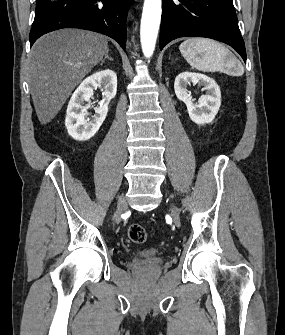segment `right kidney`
Segmentation results:
<instances>
[{
  "instance_id": "ca27d5eb",
  "label": "right kidney",
  "mask_w": 285,
  "mask_h": 335,
  "mask_svg": "<svg viewBox=\"0 0 285 335\" xmlns=\"http://www.w3.org/2000/svg\"><path fill=\"white\" fill-rule=\"evenodd\" d=\"M104 86V88H102ZM93 88H101L103 96L106 98L105 104L100 108H94L95 114L91 118H87L89 114L86 108H92L90 98L93 94ZM117 92V76L112 70H102L92 74L86 80L81 82L68 104L67 114L65 118V126L67 132L74 140H90L100 126H102L108 112V104L112 98H115ZM84 102H89L85 104Z\"/></svg>"
}]
</instances>
